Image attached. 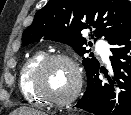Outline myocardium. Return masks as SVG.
Masks as SVG:
<instances>
[{
  "mask_svg": "<svg viewBox=\"0 0 131 115\" xmlns=\"http://www.w3.org/2000/svg\"><path fill=\"white\" fill-rule=\"evenodd\" d=\"M53 62H65L69 64L75 74V85L72 92L63 99L53 98L43 91L41 86V76L45 68ZM31 88L33 92L46 104L54 107H64L71 104L79 95L82 88V75L78 64L69 56L64 54L45 55L34 67L31 76Z\"/></svg>",
  "mask_w": 131,
  "mask_h": 115,
  "instance_id": "f54148a6",
  "label": "myocardium"
}]
</instances>
